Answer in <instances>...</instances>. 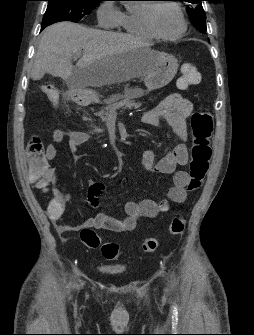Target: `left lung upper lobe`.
<instances>
[{
	"label": "left lung upper lobe",
	"mask_w": 254,
	"mask_h": 335,
	"mask_svg": "<svg viewBox=\"0 0 254 335\" xmlns=\"http://www.w3.org/2000/svg\"><path fill=\"white\" fill-rule=\"evenodd\" d=\"M190 3L191 7L187 8V13L190 16L193 25L201 32L205 33L206 28V15L204 13L201 1L202 0H182Z\"/></svg>",
	"instance_id": "left-lung-upper-lobe-1"
}]
</instances>
